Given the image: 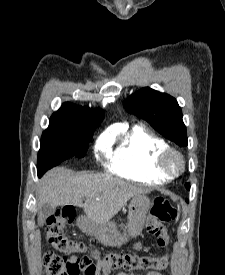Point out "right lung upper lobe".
I'll use <instances>...</instances> for the list:
<instances>
[{
  "mask_svg": "<svg viewBox=\"0 0 225 275\" xmlns=\"http://www.w3.org/2000/svg\"><path fill=\"white\" fill-rule=\"evenodd\" d=\"M104 112L101 109H89L76 106L72 103H64L51 118V123H71L78 125H99Z\"/></svg>",
  "mask_w": 225,
  "mask_h": 275,
  "instance_id": "obj_1",
  "label": "right lung upper lobe"
}]
</instances>
